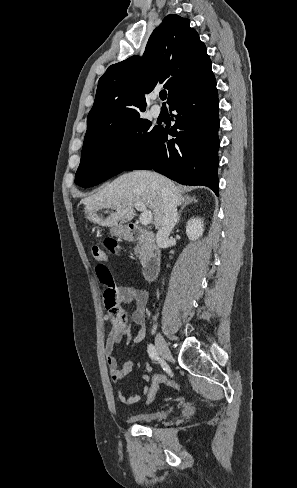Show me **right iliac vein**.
<instances>
[{
  "label": "right iliac vein",
  "mask_w": 297,
  "mask_h": 488,
  "mask_svg": "<svg viewBox=\"0 0 297 488\" xmlns=\"http://www.w3.org/2000/svg\"><path fill=\"white\" fill-rule=\"evenodd\" d=\"M155 345H156L157 351L159 352V354L164 359H167V360L171 359V357H172L171 352H170V350L166 344L165 339L163 338V336L160 333L156 334Z\"/></svg>",
  "instance_id": "obj_1"
}]
</instances>
